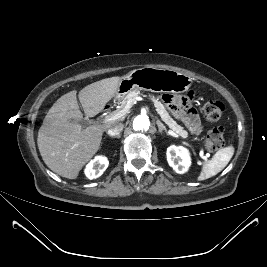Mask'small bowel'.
Wrapping results in <instances>:
<instances>
[{
	"mask_svg": "<svg viewBox=\"0 0 267 267\" xmlns=\"http://www.w3.org/2000/svg\"><path fill=\"white\" fill-rule=\"evenodd\" d=\"M162 99L169 111L181 119L192 133L201 132L202 125L191 106L190 97L167 93L162 95Z\"/></svg>",
	"mask_w": 267,
	"mask_h": 267,
	"instance_id": "c3829d8e",
	"label": "small bowel"
}]
</instances>
